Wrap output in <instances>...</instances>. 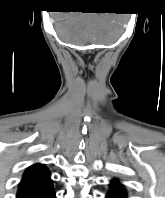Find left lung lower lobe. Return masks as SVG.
Instances as JSON below:
<instances>
[{"label":"left lung lower lobe","mask_w":165,"mask_h":198,"mask_svg":"<svg viewBox=\"0 0 165 198\" xmlns=\"http://www.w3.org/2000/svg\"><path fill=\"white\" fill-rule=\"evenodd\" d=\"M106 198H127L125 187L117 180H112Z\"/></svg>","instance_id":"0a47b994"}]
</instances>
